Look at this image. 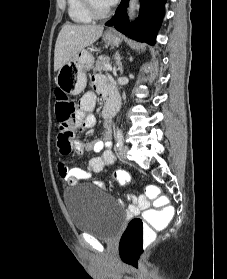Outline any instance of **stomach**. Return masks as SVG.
Masks as SVG:
<instances>
[{"instance_id": "0dacf381", "label": "stomach", "mask_w": 227, "mask_h": 279, "mask_svg": "<svg viewBox=\"0 0 227 279\" xmlns=\"http://www.w3.org/2000/svg\"><path fill=\"white\" fill-rule=\"evenodd\" d=\"M106 44L118 46L120 38L112 31H106L103 35ZM94 63V57L88 49L80 50L77 55L65 63L58 71L55 78L57 86L68 95L76 96L86 87V71Z\"/></svg>"}]
</instances>
